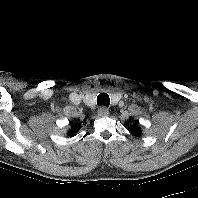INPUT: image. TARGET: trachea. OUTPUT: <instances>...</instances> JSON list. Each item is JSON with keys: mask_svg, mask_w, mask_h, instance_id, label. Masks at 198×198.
I'll use <instances>...</instances> for the list:
<instances>
[{"mask_svg": "<svg viewBox=\"0 0 198 198\" xmlns=\"http://www.w3.org/2000/svg\"><path fill=\"white\" fill-rule=\"evenodd\" d=\"M110 104V98L109 95L107 93H100L97 96V105L99 106H105V107H109Z\"/></svg>", "mask_w": 198, "mask_h": 198, "instance_id": "trachea-1", "label": "trachea"}]
</instances>
